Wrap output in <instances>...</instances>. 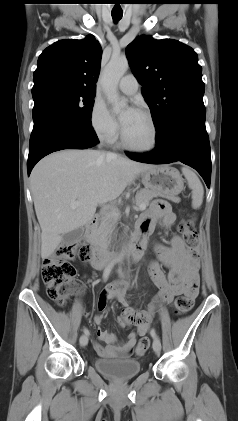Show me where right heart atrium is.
I'll list each match as a JSON object with an SVG mask.
<instances>
[{
    "instance_id": "1",
    "label": "right heart atrium",
    "mask_w": 238,
    "mask_h": 421,
    "mask_svg": "<svg viewBox=\"0 0 238 421\" xmlns=\"http://www.w3.org/2000/svg\"><path fill=\"white\" fill-rule=\"evenodd\" d=\"M90 122L94 132L103 140L113 142L119 134V125L105 103L95 99L90 113Z\"/></svg>"
}]
</instances>
